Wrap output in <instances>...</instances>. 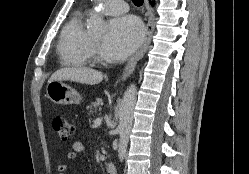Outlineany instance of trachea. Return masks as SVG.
Masks as SVG:
<instances>
[{"instance_id":"1","label":"trachea","mask_w":249,"mask_h":174,"mask_svg":"<svg viewBox=\"0 0 249 174\" xmlns=\"http://www.w3.org/2000/svg\"><path fill=\"white\" fill-rule=\"evenodd\" d=\"M132 2L136 5V6H141L143 4V0H132Z\"/></svg>"}]
</instances>
